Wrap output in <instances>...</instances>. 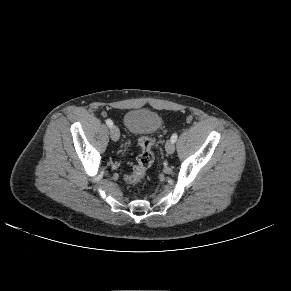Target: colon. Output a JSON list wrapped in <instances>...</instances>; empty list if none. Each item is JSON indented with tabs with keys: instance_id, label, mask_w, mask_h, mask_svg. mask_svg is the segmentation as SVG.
I'll return each mask as SVG.
<instances>
[{
	"instance_id": "5ec220e1",
	"label": "colon",
	"mask_w": 291,
	"mask_h": 291,
	"mask_svg": "<svg viewBox=\"0 0 291 291\" xmlns=\"http://www.w3.org/2000/svg\"><path fill=\"white\" fill-rule=\"evenodd\" d=\"M153 143V139L149 136H142L139 139L140 153L137 156L136 164L132 171L124 177V182L127 185L135 186L144 179L147 170L154 162Z\"/></svg>"
}]
</instances>
